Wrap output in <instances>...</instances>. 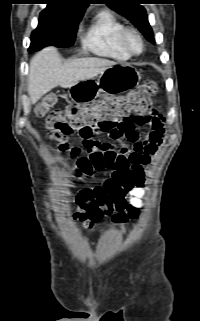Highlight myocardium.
<instances>
[{
	"label": "myocardium",
	"mask_w": 200,
	"mask_h": 321,
	"mask_svg": "<svg viewBox=\"0 0 200 321\" xmlns=\"http://www.w3.org/2000/svg\"><path fill=\"white\" fill-rule=\"evenodd\" d=\"M130 34L135 35L139 42H140V49L138 51H133L132 49H130V47L127 44V38ZM119 44L121 46V48L130 56H137L139 54H141L144 50V39L143 36L141 35V33L133 28V27H129V26H125L120 34H119Z\"/></svg>",
	"instance_id": "myocardium-1"
}]
</instances>
